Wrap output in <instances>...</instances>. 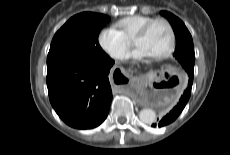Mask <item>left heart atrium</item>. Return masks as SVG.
<instances>
[{"instance_id":"left-heart-atrium-1","label":"left heart atrium","mask_w":230,"mask_h":155,"mask_svg":"<svg viewBox=\"0 0 230 155\" xmlns=\"http://www.w3.org/2000/svg\"><path fill=\"white\" fill-rule=\"evenodd\" d=\"M150 57V55L141 47H136L132 52L126 55L127 59L143 60Z\"/></svg>"}]
</instances>
